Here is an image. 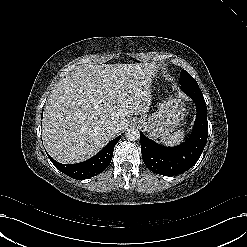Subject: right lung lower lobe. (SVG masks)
<instances>
[{
  "label": "right lung lower lobe",
  "instance_id": "right-lung-lower-lobe-1",
  "mask_svg": "<svg viewBox=\"0 0 247 247\" xmlns=\"http://www.w3.org/2000/svg\"><path fill=\"white\" fill-rule=\"evenodd\" d=\"M120 138L121 136H118L117 138L113 139L99 153L81 163L71 165L61 164L53 160L51 157H48L55 165V167L67 176L73 179L83 180L102 173L109 166L112 160L114 147Z\"/></svg>",
  "mask_w": 247,
  "mask_h": 247
}]
</instances>
